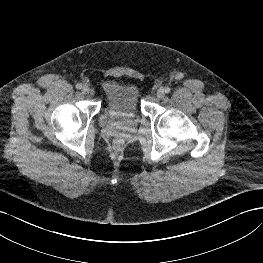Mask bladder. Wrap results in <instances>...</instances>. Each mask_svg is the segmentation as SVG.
I'll list each match as a JSON object with an SVG mask.
<instances>
[{"instance_id":"obj_1","label":"bladder","mask_w":263,"mask_h":263,"mask_svg":"<svg viewBox=\"0 0 263 263\" xmlns=\"http://www.w3.org/2000/svg\"><path fill=\"white\" fill-rule=\"evenodd\" d=\"M105 95V114L116 123L134 120L139 112L140 88L137 83L125 80H107L102 84Z\"/></svg>"}]
</instances>
